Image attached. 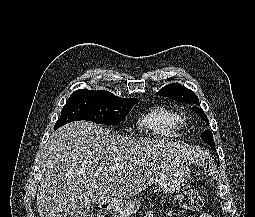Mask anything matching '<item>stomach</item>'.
I'll list each match as a JSON object with an SVG mask.
<instances>
[{"label":"stomach","mask_w":255,"mask_h":217,"mask_svg":"<svg viewBox=\"0 0 255 217\" xmlns=\"http://www.w3.org/2000/svg\"><path fill=\"white\" fill-rule=\"evenodd\" d=\"M190 178V170L184 162L163 172L158 177L160 189L165 193H173L184 186ZM140 202L136 200H119L108 204V211L113 217H130L140 209Z\"/></svg>","instance_id":"1"}]
</instances>
